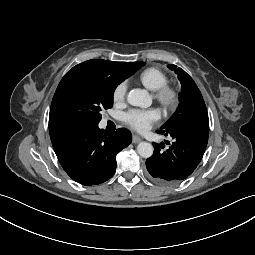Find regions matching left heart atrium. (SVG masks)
Here are the masks:
<instances>
[{"label": "left heart atrium", "mask_w": 255, "mask_h": 255, "mask_svg": "<svg viewBox=\"0 0 255 255\" xmlns=\"http://www.w3.org/2000/svg\"><path fill=\"white\" fill-rule=\"evenodd\" d=\"M160 118V113L156 109H132L124 114L125 123L132 129L144 132Z\"/></svg>", "instance_id": "left-heart-atrium-1"}]
</instances>
